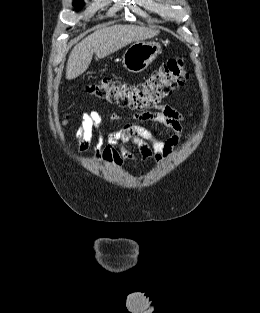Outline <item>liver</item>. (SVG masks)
Listing matches in <instances>:
<instances>
[{"label": "liver", "mask_w": 260, "mask_h": 313, "mask_svg": "<svg viewBox=\"0 0 260 313\" xmlns=\"http://www.w3.org/2000/svg\"><path fill=\"white\" fill-rule=\"evenodd\" d=\"M158 34L159 30L135 25H113L96 30L76 44L70 52L66 78L72 80L83 74L92 61L93 53L98 58H104L132 42L152 38Z\"/></svg>", "instance_id": "6515ba94"}]
</instances>
